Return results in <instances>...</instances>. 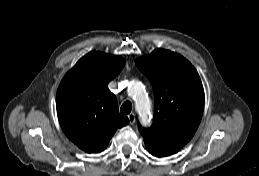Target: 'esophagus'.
<instances>
[{"mask_svg":"<svg viewBox=\"0 0 259 176\" xmlns=\"http://www.w3.org/2000/svg\"><path fill=\"white\" fill-rule=\"evenodd\" d=\"M128 119H129L130 124H134L135 120H136L135 114L134 113H130L128 115Z\"/></svg>","mask_w":259,"mask_h":176,"instance_id":"esophagus-1","label":"esophagus"}]
</instances>
